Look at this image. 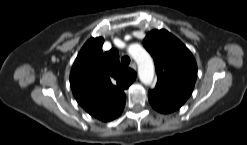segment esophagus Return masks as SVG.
I'll return each instance as SVG.
<instances>
[{"instance_id":"1","label":"esophagus","mask_w":247,"mask_h":145,"mask_svg":"<svg viewBox=\"0 0 247 145\" xmlns=\"http://www.w3.org/2000/svg\"><path fill=\"white\" fill-rule=\"evenodd\" d=\"M130 67H131L132 69H134V70L137 69V65H136L135 62H132L131 65H130Z\"/></svg>"}]
</instances>
